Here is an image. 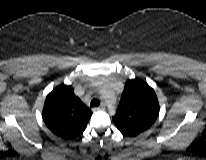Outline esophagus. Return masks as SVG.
I'll return each mask as SVG.
<instances>
[{"mask_svg": "<svg viewBox=\"0 0 206 160\" xmlns=\"http://www.w3.org/2000/svg\"><path fill=\"white\" fill-rule=\"evenodd\" d=\"M94 110H105V104L101 103V105L98 108H95Z\"/></svg>", "mask_w": 206, "mask_h": 160, "instance_id": "34e87169", "label": "esophagus"}]
</instances>
